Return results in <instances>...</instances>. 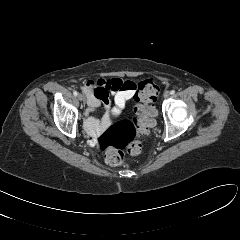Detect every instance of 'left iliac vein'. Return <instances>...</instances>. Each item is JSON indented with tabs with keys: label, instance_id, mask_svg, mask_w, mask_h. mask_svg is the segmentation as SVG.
<instances>
[{
	"label": "left iliac vein",
	"instance_id": "obj_1",
	"mask_svg": "<svg viewBox=\"0 0 240 240\" xmlns=\"http://www.w3.org/2000/svg\"><path fill=\"white\" fill-rule=\"evenodd\" d=\"M170 96V92L169 91H165L163 94V97L166 99Z\"/></svg>",
	"mask_w": 240,
	"mask_h": 240
}]
</instances>
